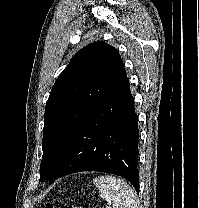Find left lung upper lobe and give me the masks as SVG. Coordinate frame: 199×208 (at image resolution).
<instances>
[{"label": "left lung upper lobe", "instance_id": "obj_1", "mask_svg": "<svg viewBox=\"0 0 199 208\" xmlns=\"http://www.w3.org/2000/svg\"><path fill=\"white\" fill-rule=\"evenodd\" d=\"M126 77L118 51L106 43L94 42L73 56L46 104L41 182L51 178L75 132Z\"/></svg>", "mask_w": 199, "mask_h": 208}]
</instances>
